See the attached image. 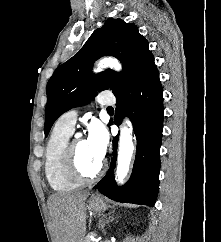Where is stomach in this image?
Wrapping results in <instances>:
<instances>
[{"label": "stomach", "instance_id": "0dacf381", "mask_svg": "<svg viewBox=\"0 0 221 242\" xmlns=\"http://www.w3.org/2000/svg\"><path fill=\"white\" fill-rule=\"evenodd\" d=\"M88 208L94 212H102L108 208L107 202L101 196H91L88 200Z\"/></svg>", "mask_w": 221, "mask_h": 242}]
</instances>
